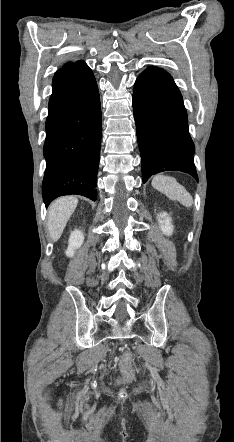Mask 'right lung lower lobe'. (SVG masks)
<instances>
[{
  "label": "right lung lower lobe",
  "instance_id": "right-lung-lower-lobe-1",
  "mask_svg": "<svg viewBox=\"0 0 234 442\" xmlns=\"http://www.w3.org/2000/svg\"><path fill=\"white\" fill-rule=\"evenodd\" d=\"M46 120V170L42 196L79 194L97 199V170L101 145V106L91 69L79 64L59 70L52 81Z\"/></svg>",
  "mask_w": 234,
  "mask_h": 442
}]
</instances>
